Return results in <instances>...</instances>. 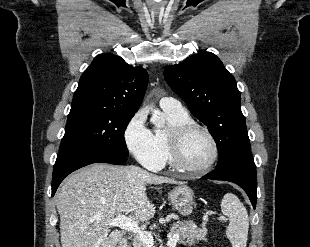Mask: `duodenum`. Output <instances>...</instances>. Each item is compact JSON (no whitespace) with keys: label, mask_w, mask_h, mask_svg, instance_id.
<instances>
[{"label":"duodenum","mask_w":310,"mask_h":247,"mask_svg":"<svg viewBox=\"0 0 310 247\" xmlns=\"http://www.w3.org/2000/svg\"><path fill=\"white\" fill-rule=\"evenodd\" d=\"M117 247H129L128 240L126 238L121 239Z\"/></svg>","instance_id":"duodenum-1"}]
</instances>
